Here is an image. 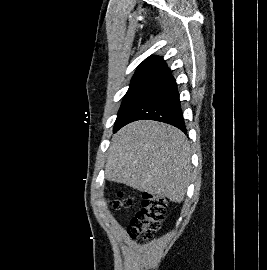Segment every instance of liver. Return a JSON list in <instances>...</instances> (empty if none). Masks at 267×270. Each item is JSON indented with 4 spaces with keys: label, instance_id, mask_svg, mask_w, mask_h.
<instances>
[{
    "label": "liver",
    "instance_id": "liver-1",
    "mask_svg": "<svg viewBox=\"0 0 267 270\" xmlns=\"http://www.w3.org/2000/svg\"><path fill=\"white\" fill-rule=\"evenodd\" d=\"M105 177L180 203L191 179L189 142L170 125L140 120L112 138Z\"/></svg>",
    "mask_w": 267,
    "mask_h": 270
}]
</instances>
